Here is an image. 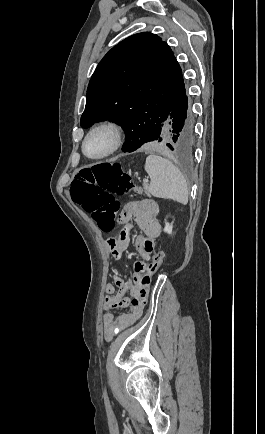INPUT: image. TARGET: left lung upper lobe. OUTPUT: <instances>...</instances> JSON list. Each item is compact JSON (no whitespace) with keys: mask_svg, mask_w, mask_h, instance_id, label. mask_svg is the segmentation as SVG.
<instances>
[{"mask_svg":"<svg viewBox=\"0 0 265 434\" xmlns=\"http://www.w3.org/2000/svg\"><path fill=\"white\" fill-rule=\"evenodd\" d=\"M185 87L168 44L143 32L114 46L98 64L87 89L83 128L110 120L126 137L161 124L162 116Z\"/></svg>","mask_w":265,"mask_h":434,"instance_id":"left-lung-upper-lobe-1","label":"left lung upper lobe"}]
</instances>
